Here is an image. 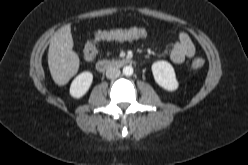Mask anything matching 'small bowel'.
Listing matches in <instances>:
<instances>
[{
	"label": "small bowel",
	"instance_id": "1",
	"mask_svg": "<svg viewBox=\"0 0 248 165\" xmlns=\"http://www.w3.org/2000/svg\"><path fill=\"white\" fill-rule=\"evenodd\" d=\"M125 30L133 31L136 34L129 38L112 39V40H135V39H143L147 37V31L143 28L136 27V28H130V29H125ZM107 40H111V39H107ZM91 43H93L92 38H90L87 41L86 45H89ZM194 55H195V47L190 37L188 36L187 33L180 32L178 34L177 41L175 42L172 49L170 50V53H169L170 60L175 64H182L186 59L192 58L194 57Z\"/></svg>",
	"mask_w": 248,
	"mask_h": 165
}]
</instances>
